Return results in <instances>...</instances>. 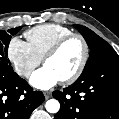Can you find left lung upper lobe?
<instances>
[{
  "instance_id": "left-lung-upper-lobe-1",
  "label": "left lung upper lobe",
  "mask_w": 119,
  "mask_h": 119,
  "mask_svg": "<svg viewBox=\"0 0 119 119\" xmlns=\"http://www.w3.org/2000/svg\"><path fill=\"white\" fill-rule=\"evenodd\" d=\"M74 27L82 34L91 50L81 76L86 75L94 67L119 59L115 50L92 30L82 25H74Z\"/></svg>"
}]
</instances>
